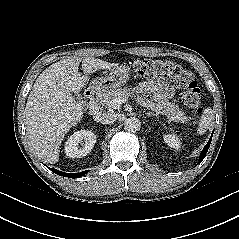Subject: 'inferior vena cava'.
I'll use <instances>...</instances> for the list:
<instances>
[{
	"instance_id": "1",
	"label": "inferior vena cava",
	"mask_w": 239,
	"mask_h": 239,
	"mask_svg": "<svg viewBox=\"0 0 239 239\" xmlns=\"http://www.w3.org/2000/svg\"><path fill=\"white\" fill-rule=\"evenodd\" d=\"M116 115L113 112H107V113H98L94 116V120L96 122H100L102 124H111L116 120Z\"/></svg>"
}]
</instances>
